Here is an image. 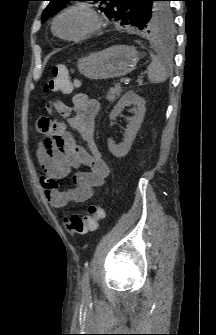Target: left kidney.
Segmentation results:
<instances>
[{
    "mask_svg": "<svg viewBox=\"0 0 216 335\" xmlns=\"http://www.w3.org/2000/svg\"><path fill=\"white\" fill-rule=\"evenodd\" d=\"M145 103V100L138 96L134 91H128L121 97L111 111L109 119L115 120L126 106L133 105L135 107L134 116L127 117L129 124L125 130L123 142L116 145L111 138H108V148L115 157H124L129 152L144 119L146 112Z\"/></svg>",
    "mask_w": 216,
    "mask_h": 335,
    "instance_id": "5707ae66",
    "label": "left kidney"
}]
</instances>
